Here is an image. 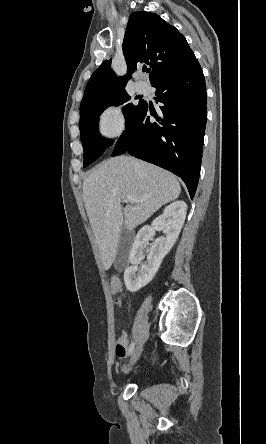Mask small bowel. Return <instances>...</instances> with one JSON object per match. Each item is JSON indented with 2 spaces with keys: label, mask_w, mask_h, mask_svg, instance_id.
Returning a JSON list of instances; mask_svg holds the SVG:
<instances>
[{
  "label": "small bowel",
  "mask_w": 266,
  "mask_h": 444,
  "mask_svg": "<svg viewBox=\"0 0 266 444\" xmlns=\"http://www.w3.org/2000/svg\"><path fill=\"white\" fill-rule=\"evenodd\" d=\"M112 290L114 293H121L123 291L122 283L118 278H113L111 281ZM128 335L122 333L117 340L116 353L119 357L124 358L127 352Z\"/></svg>",
  "instance_id": "c3829d8e"
}]
</instances>
